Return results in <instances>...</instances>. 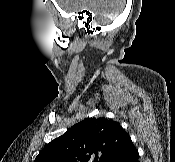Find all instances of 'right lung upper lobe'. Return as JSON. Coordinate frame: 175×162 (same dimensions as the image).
I'll use <instances>...</instances> for the list:
<instances>
[{
  "label": "right lung upper lobe",
  "instance_id": "1",
  "mask_svg": "<svg viewBox=\"0 0 175 162\" xmlns=\"http://www.w3.org/2000/svg\"><path fill=\"white\" fill-rule=\"evenodd\" d=\"M132 146L118 122L87 118L51 141L34 162H111Z\"/></svg>",
  "mask_w": 175,
  "mask_h": 162
}]
</instances>
